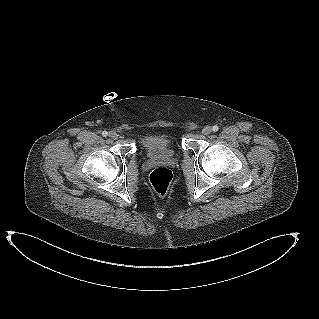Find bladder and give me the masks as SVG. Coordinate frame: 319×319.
Segmentation results:
<instances>
[{"label":"bladder","instance_id":"31cf9c89","mask_svg":"<svg viewBox=\"0 0 319 319\" xmlns=\"http://www.w3.org/2000/svg\"><path fill=\"white\" fill-rule=\"evenodd\" d=\"M140 150L150 158L174 157L177 147L172 136L167 134H152L144 136L139 143Z\"/></svg>","mask_w":319,"mask_h":319}]
</instances>
